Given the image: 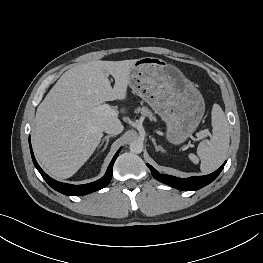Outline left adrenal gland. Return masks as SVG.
Listing matches in <instances>:
<instances>
[{"label": "left adrenal gland", "instance_id": "a2214340", "mask_svg": "<svg viewBox=\"0 0 263 263\" xmlns=\"http://www.w3.org/2000/svg\"><path fill=\"white\" fill-rule=\"evenodd\" d=\"M151 141H152V143H153L156 151L164 152L163 148H162L161 146H158V145L156 144V140H155L153 137H151Z\"/></svg>", "mask_w": 263, "mask_h": 263}]
</instances>
